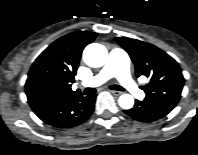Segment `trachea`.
Listing matches in <instances>:
<instances>
[{
	"label": "trachea",
	"mask_w": 198,
	"mask_h": 155,
	"mask_svg": "<svg viewBox=\"0 0 198 155\" xmlns=\"http://www.w3.org/2000/svg\"><path fill=\"white\" fill-rule=\"evenodd\" d=\"M110 89L112 90H116V91H125V89L119 85H111ZM96 92L95 88H86L84 89V94L85 95H91L94 94Z\"/></svg>",
	"instance_id": "3493384b"
}]
</instances>
